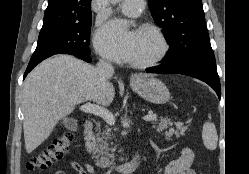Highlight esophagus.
Wrapping results in <instances>:
<instances>
[{"label":"esophagus","mask_w":249,"mask_h":174,"mask_svg":"<svg viewBox=\"0 0 249 174\" xmlns=\"http://www.w3.org/2000/svg\"><path fill=\"white\" fill-rule=\"evenodd\" d=\"M138 78L137 74L132 75V80H136Z\"/></svg>","instance_id":"34e87169"}]
</instances>
